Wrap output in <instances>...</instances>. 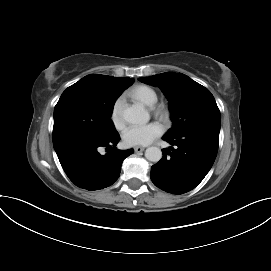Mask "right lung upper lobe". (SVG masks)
<instances>
[{"mask_svg":"<svg viewBox=\"0 0 271 271\" xmlns=\"http://www.w3.org/2000/svg\"><path fill=\"white\" fill-rule=\"evenodd\" d=\"M86 78H89L102 86L117 87L123 89L129 87L134 81L133 79H130L128 77L117 78L99 74L88 75L86 76Z\"/></svg>","mask_w":271,"mask_h":271,"instance_id":"cb5924a9","label":"right lung upper lobe"}]
</instances>
